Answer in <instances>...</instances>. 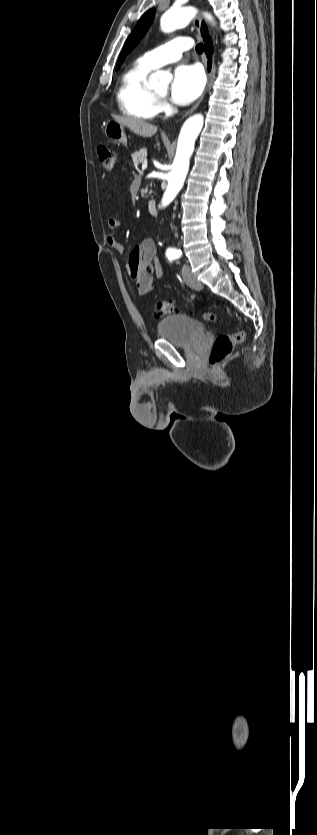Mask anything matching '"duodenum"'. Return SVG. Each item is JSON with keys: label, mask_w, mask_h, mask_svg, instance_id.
Listing matches in <instances>:
<instances>
[{"label": "duodenum", "mask_w": 317, "mask_h": 835, "mask_svg": "<svg viewBox=\"0 0 317 835\" xmlns=\"http://www.w3.org/2000/svg\"><path fill=\"white\" fill-rule=\"evenodd\" d=\"M147 209H148L150 214H156L157 213L156 201L155 200H150L147 203Z\"/></svg>", "instance_id": "410a0bca"}]
</instances>
